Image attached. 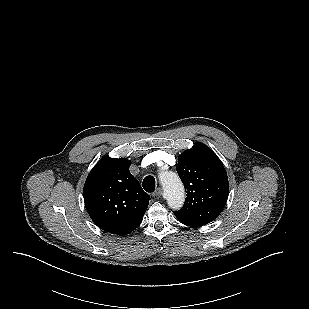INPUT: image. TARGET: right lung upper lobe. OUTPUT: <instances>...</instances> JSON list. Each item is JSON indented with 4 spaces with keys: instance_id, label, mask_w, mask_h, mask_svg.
<instances>
[{
    "instance_id": "cb5924a9",
    "label": "right lung upper lobe",
    "mask_w": 309,
    "mask_h": 309,
    "mask_svg": "<svg viewBox=\"0 0 309 309\" xmlns=\"http://www.w3.org/2000/svg\"><path fill=\"white\" fill-rule=\"evenodd\" d=\"M130 165L127 159L103 156L84 185V202L92 221L120 236L141 224L150 200L130 173Z\"/></svg>"
}]
</instances>
